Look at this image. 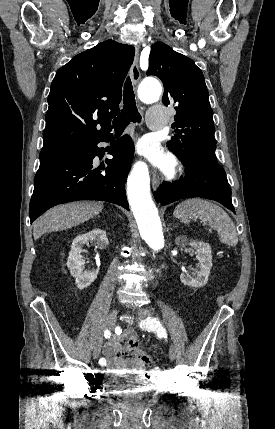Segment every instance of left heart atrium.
<instances>
[{
  "label": "left heart atrium",
  "instance_id": "obj_1",
  "mask_svg": "<svg viewBox=\"0 0 275 429\" xmlns=\"http://www.w3.org/2000/svg\"><path fill=\"white\" fill-rule=\"evenodd\" d=\"M139 152L152 161L157 163L162 168L169 170L172 167V160L165 155L162 150L154 143L144 142L139 145Z\"/></svg>",
  "mask_w": 275,
  "mask_h": 429
}]
</instances>
